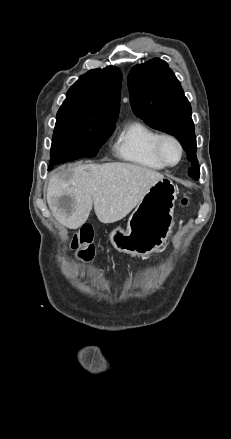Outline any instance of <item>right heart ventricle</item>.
Here are the masks:
<instances>
[{
  "label": "right heart ventricle",
  "instance_id": "e07e8e85",
  "mask_svg": "<svg viewBox=\"0 0 231 439\" xmlns=\"http://www.w3.org/2000/svg\"><path fill=\"white\" fill-rule=\"evenodd\" d=\"M158 132L140 121L125 124L114 144L118 157L139 167L162 171L166 167L154 153V142Z\"/></svg>",
  "mask_w": 231,
  "mask_h": 439
}]
</instances>
